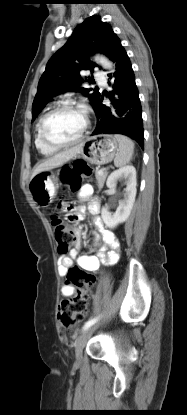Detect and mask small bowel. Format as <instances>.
I'll use <instances>...</instances> for the list:
<instances>
[{
  "label": "small bowel",
  "instance_id": "c3829d8e",
  "mask_svg": "<svg viewBox=\"0 0 187 415\" xmlns=\"http://www.w3.org/2000/svg\"><path fill=\"white\" fill-rule=\"evenodd\" d=\"M93 188L91 185L86 184L81 187L78 192L79 199L85 200L91 198ZM100 204L96 198H92L89 204V212L92 215L93 222L96 226V239L94 245H98L99 241H102V246L96 255H82L80 256L81 248V231L79 228H75L76 242L74 247L69 251L68 254L62 255L59 258V274L62 277H67L69 268L73 265L75 259L78 264L86 271L94 272L97 271L101 263L113 264L119 253L120 242L116 236L109 230H107L99 217ZM85 208L78 206L75 208L74 215L71 216L72 220H79L85 216ZM75 289L72 284L64 283L61 287V294L64 297H70L74 294Z\"/></svg>",
  "mask_w": 187,
  "mask_h": 415
}]
</instances>
